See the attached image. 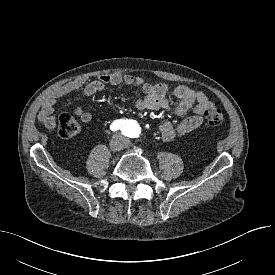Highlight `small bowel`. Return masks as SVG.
<instances>
[{"instance_id":"obj_1","label":"small bowel","mask_w":275,"mask_h":275,"mask_svg":"<svg viewBox=\"0 0 275 275\" xmlns=\"http://www.w3.org/2000/svg\"><path fill=\"white\" fill-rule=\"evenodd\" d=\"M120 84L142 89L143 96L136 100L138 109L169 110L176 115H184L189 110H193L192 115L184 118L176 126L168 119L159 123V133L166 142L173 140L177 134L185 135L200 127L203 123L204 112L214 108V104L204 92L195 91L188 86L179 85L171 90L165 83H150L137 75L114 73L102 75L89 83L85 78L79 77L58 87L45 99L38 113V120L44 127L52 129L56 125L55 106L66 95L83 90V96L89 98L109 85ZM172 99L176 101L173 102ZM74 114L83 122H89L92 118L91 111L83 108L75 109Z\"/></svg>"}]
</instances>
